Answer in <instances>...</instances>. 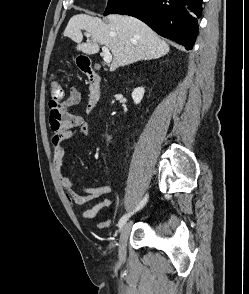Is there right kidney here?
I'll list each match as a JSON object with an SVG mask.
<instances>
[{
    "label": "right kidney",
    "mask_w": 249,
    "mask_h": 294,
    "mask_svg": "<svg viewBox=\"0 0 249 294\" xmlns=\"http://www.w3.org/2000/svg\"><path fill=\"white\" fill-rule=\"evenodd\" d=\"M144 88L143 87H138L135 88L132 92V98L135 104H139L144 96Z\"/></svg>",
    "instance_id": "right-kidney-1"
}]
</instances>
